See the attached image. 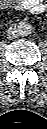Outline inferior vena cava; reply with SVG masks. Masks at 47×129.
<instances>
[{
  "mask_svg": "<svg viewBox=\"0 0 47 129\" xmlns=\"http://www.w3.org/2000/svg\"><path fill=\"white\" fill-rule=\"evenodd\" d=\"M18 31L16 29V27H11L9 28L7 35L9 39H14L17 37Z\"/></svg>",
  "mask_w": 47,
  "mask_h": 129,
  "instance_id": "1",
  "label": "inferior vena cava"
}]
</instances>
